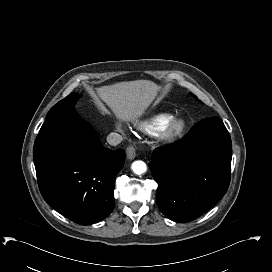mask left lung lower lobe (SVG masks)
I'll return each instance as SVG.
<instances>
[{
	"label": "left lung lower lobe",
	"mask_w": 272,
	"mask_h": 272,
	"mask_svg": "<svg viewBox=\"0 0 272 272\" xmlns=\"http://www.w3.org/2000/svg\"><path fill=\"white\" fill-rule=\"evenodd\" d=\"M231 158L230 135L218 117L201 120L180 141L157 148L149 168L159 185L161 212L183 223L210 209L227 192Z\"/></svg>",
	"instance_id": "left-lung-lower-lobe-1"
}]
</instances>
